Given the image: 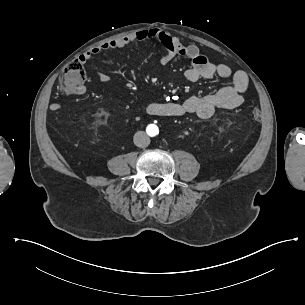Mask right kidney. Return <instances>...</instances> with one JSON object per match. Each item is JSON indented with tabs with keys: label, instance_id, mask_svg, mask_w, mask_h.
<instances>
[{
	"label": "right kidney",
	"instance_id": "right-kidney-1",
	"mask_svg": "<svg viewBox=\"0 0 305 305\" xmlns=\"http://www.w3.org/2000/svg\"><path fill=\"white\" fill-rule=\"evenodd\" d=\"M105 112L104 111H101L99 114H98V118H102L104 116Z\"/></svg>",
	"mask_w": 305,
	"mask_h": 305
}]
</instances>
